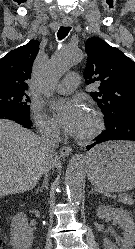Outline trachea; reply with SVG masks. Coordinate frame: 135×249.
Segmentation results:
<instances>
[{"instance_id":"1","label":"trachea","mask_w":135,"mask_h":249,"mask_svg":"<svg viewBox=\"0 0 135 249\" xmlns=\"http://www.w3.org/2000/svg\"><path fill=\"white\" fill-rule=\"evenodd\" d=\"M70 30H71V27L69 26H65V27L61 26L57 33L58 39L62 40L63 38H65L70 32Z\"/></svg>"}]
</instances>
